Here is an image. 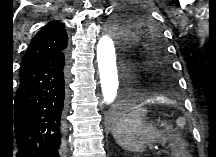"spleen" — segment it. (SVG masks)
<instances>
[{"mask_svg": "<svg viewBox=\"0 0 216 157\" xmlns=\"http://www.w3.org/2000/svg\"><path fill=\"white\" fill-rule=\"evenodd\" d=\"M147 113L146 109L139 108L118 121L112 134L120 147L131 152H143L147 146L169 139L153 123H146Z\"/></svg>", "mask_w": 216, "mask_h": 157, "instance_id": "3e777b00", "label": "spleen"}]
</instances>
